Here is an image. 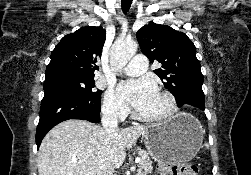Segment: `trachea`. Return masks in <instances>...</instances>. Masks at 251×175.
<instances>
[{
  "instance_id": "1",
  "label": "trachea",
  "mask_w": 251,
  "mask_h": 175,
  "mask_svg": "<svg viewBox=\"0 0 251 175\" xmlns=\"http://www.w3.org/2000/svg\"><path fill=\"white\" fill-rule=\"evenodd\" d=\"M132 0H121V7L122 11L126 14L129 12V9L131 7Z\"/></svg>"
}]
</instances>
